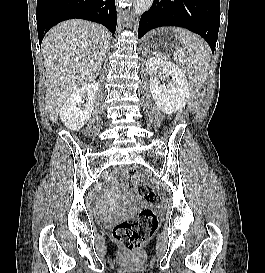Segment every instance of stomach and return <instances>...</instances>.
<instances>
[{
    "instance_id": "0dacf381",
    "label": "stomach",
    "mask_w": 265,
    "mask_h": 273,
    "mask_svg": "<svg viewBox=\"0 0 265 273\" xmlns=\"http://www.w3.org/2000/svg\"><path fill=\"white\" fill-rule=\"evenodd\" d=\"M177 35H182V30H152V35H146V40H140L141 49H156L150 51V56H174L176 49Z\"/></svg>"
}]
</instances>
